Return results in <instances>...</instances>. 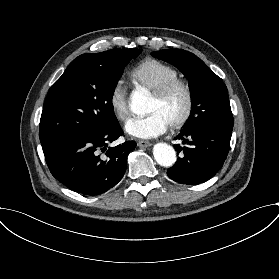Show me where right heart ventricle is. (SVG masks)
I'll return each mask as SVG.
<instances>
[{
	"instance_id": "e07e8e85",
	"label": "right heart ventricle",
	"mask_w": 279,
	"mask_h": 279,
	"mask_svg": "<svg viewBox=\"0 0 279 279\" xmlns=\"http://www.w3.org/2000/svg\"><path fill=\"white\" fill-rule=\"evenodd\" d=\"M131 74L139 84L151 91L157 90L168 80L179 77V71L174 66L152 58L140 62Z\"/></svg>"
}]
</instances>
